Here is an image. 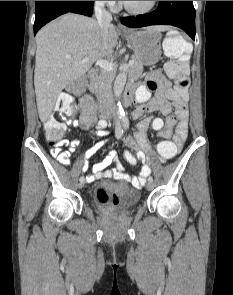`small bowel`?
<instances>
[{
	"mask_svg": "<svg viewBox=\"0 0 233 295\" xmlns=\"http://www.w3.org/2000/svg\"><path fill=\"white\" fill-rule=\"evenodd\" d=\"M152 92L155 94L151 97ZM136 96L138 104L133 111V118L141 120L138 123L136 133L134 136L127 137L125 144L128 148L136 152L137 161L141 163L139 176L130 177L125 174L117 152L114 149H110L108 155L103 160L92 166V173L86 177L88 182L99 178H112L115 180L130 181L134 185L144 184L151 172L150 166L146 162V154L149 150L146 130L150 125L155 131H158L159 134L165 128L171 131V129L175 127L172 142L177 150L183 147L188 129L187 92L183 94H174L169 81L163 76L160 70H156L149 75L146 83L138 88ZM79 108V119L73 121V125L83 130H88L96 123V129L92 131V134L101 138L100 141L92 145L85 153L82 168L83 171H87L89 169V159L103 147L106 142L108 136V131L106 130L107 122L104 119H100L96 122L94 103L89 95L84 94L81 97ZM173 111L174 113H172ZM153 112H160L165 115L166 118L163 120L161 118H152L148 116V114ZM65 144L68 145L66 151H63L59 144L51 148V155L61 164L69 165L71 162V154L78 147L79 140L75 139L70 142H65ZM112 164H115V167L108 169Z\"/></svg>",
	"mask_w": 233,
	"mask_h": 295,
	"instance_id": "small-bowel-1",
	"label": "small bowel"
}]
</instances>
